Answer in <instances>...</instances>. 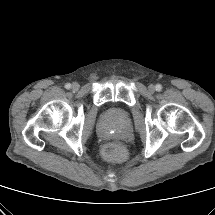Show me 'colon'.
<instances>
[{
	"label": "colon",
	"mask_w": 215,
	"mask_h": 215,
	"mask_svg": "<svg viewBox=\"0 0 215 215\" xmlns=\"http://www.w3.org/2000/svg\"><path fill=\"white\" fill-rule=\"evenodd\" d=\"M103 154L106 158L114 161H122L127 156L125 147L119 143H109L105 145Z\"/></svg>",
	"instance_id": "obj_1"
}]
</instances>
